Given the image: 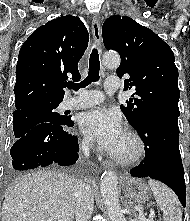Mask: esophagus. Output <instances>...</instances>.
I'll list each match as a JSON object with an SVG mask.
<instances>
[{"label":"esophagus","mask_w":190,"mask_h":221,"mask_svg":"<svg viewBox=\"0 0 190 221\" xmlns=\"http://www.w3.org/2000/svg\"><path fill=\"white\" fill-rule=\"evenodd\" d=\"M92 35L97 48L99 49V51H101L102 36H101L100 18L98 15H94L92 20ZM102 166L107 169L113 168V165L108 161L103 162Z\"/></svg>","instance_id":"34e87169"}]
</instances>
